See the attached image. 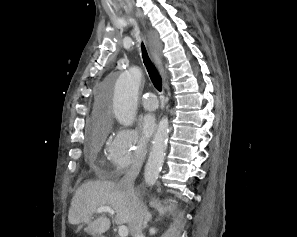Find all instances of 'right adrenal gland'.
Wrapping results in <instances>:
<instances>
[{
  "mask_svg": "<svg viewBox=\"0 0 297 237\" xmlns=\"http://www.w3.org/2000/svg\"><path fill=\"white\" fill-rule=\"evenodd\" d=\"M152 220V215L147 211L146 212V215H145V218H144V221H143V229L147 228L148 227V222H150Z\"/></svg>",
  "mask_w": 297,
  "mask_h": 237,
  "instance_id": "2a0ac1e0",
  "label": "right adrenal gland"
}]
</instances>
